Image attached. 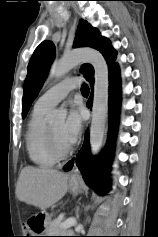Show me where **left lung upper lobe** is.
Wrapping results in <instances>:
<instances>
[{
  "mask_svg": "<svg viewBox=\"0 0 158 237\" xmlns=\"http://www.w3.org/2000/svg\"><path fill=\"white\" fill-rule=\"evenodd\" d=\"M73 46L75 48L91 47L97 49L104 56L108 67L114 64L116 51L110 46L109 40L101 36L99 31L87 21L80 20ZM54 56L55 47L51 41L42 42L34 51L28 64L27 77L24 83L23 118L27 115L31 103L37 96ZM81 72L87 80H92L94 69L91 65L84 64Z\"/></svg>",
  "mask_w": 158,
  "mask_h": 237,
  "instance_id": "1",
  "label": "left lung upper lobe"
}]
</instances>
